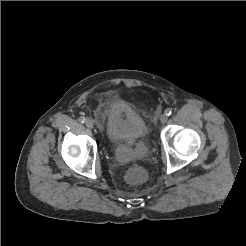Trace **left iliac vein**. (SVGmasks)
I'll use <instances>...</instances> for the list:
<instances>
[{
    "label": "left iliac vein",
    "instance_id": "left-iliac-vein-1",
    "mask_svg": "<svg viewBox=\"0 0 246 246\" xmlns=\"http://www.w3.org/2000/svg\"><path fill=\"white\" fill-rule=\"evenodd\" d=\"M159 120L161 123H166L168 120V116L166 114H162V115H160Z\"/></svg>",
    "mask_w": 246,
    "mask_h": 246
}]
</instances>
